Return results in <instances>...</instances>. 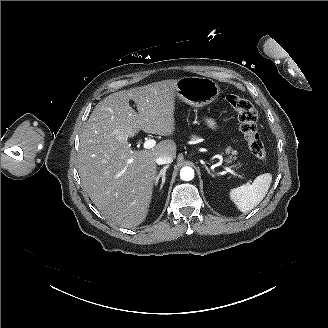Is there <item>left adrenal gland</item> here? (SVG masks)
I'll use <instances>...</instances> for the list:
<instances>
[{"mask_svg":"<svg viewBox=\"0 0 328 328\" xmlns=\"http://www.w3.org/2000/svg\"><path fill=\"white\" fill-rule=\"evenodd\" d=\"M205 169L207 170L208 174L211 175L212 177H215V174H213L210 169L208 168L207 165H204Z\"/></svg>","mask_w":328,"mask_h":328,"instance_id":"obj_1","label":"left adrenal gland"}]
</instances>
